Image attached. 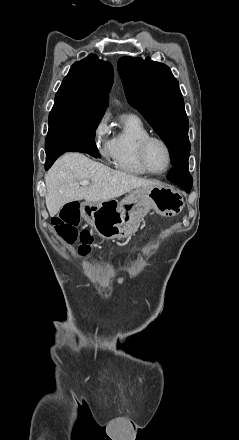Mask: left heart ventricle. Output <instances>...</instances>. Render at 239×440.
<instances>
[{
    "instance_id": "left-heart-ventricle-1",
    "label": "left heart ventricle",
    "mask_w": 239,
    "mask_h": 440,
    "mask_svg": "<svg viewBox=\"0 0 239 440\" xmlns=\"http://www.w3.org/2000/svg\"><path fill=\"white\" fill-rule=\"evenodd\" d=\"M148 161L152 170L162 172L168 164L167 152L161 143L153 142L148 148Z\"/></svg>"
}]
</instances>
